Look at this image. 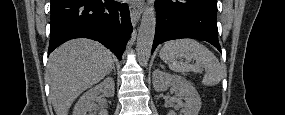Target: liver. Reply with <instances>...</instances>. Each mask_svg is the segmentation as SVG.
<instances>
[{"label": "liver", "instance_id": "1", "mask_svg": "<svg viewBox=\"0 0 285 115\" xmlns=\"http://www.w3.org/2000/svg\"><path fill=\"white\" fill-rule=\"evenodd\" d=\"M112 65L111 52L93 40H71L54 50L47 78L56 115H67L75 99L109 74Z\"/></svg>", "mask_w": 285, "mask_h": 115}]
</instances>
